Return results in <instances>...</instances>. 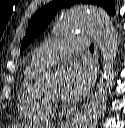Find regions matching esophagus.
<instances>
[{
    "mask_svg": "<svg viewBox=\"0 0 125 128\" xmlns=\"http://www.w3.org/2000/svg\"><path fill=\"white\" fill-rule=\"evenodd\" d=\"M94 68H95V79H94L92 86H94V83L97 78V72L99 70V57H98L97 45L95 46V52H94ZM77 117H78V112H77V114H75V116L71 120H69L65 123V126L70 127L76 121Z\"/></svg>",
    "mask_w": 125,
    "mask_h": 128,
    "instance_id": "34e87169",
    "label": "esophagus"
}]
</instances>
